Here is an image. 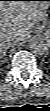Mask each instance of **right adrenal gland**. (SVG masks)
I'll list each match as a JSON object with an SVG mask.
<instances>
[{"label":"right adrenal gland","mask_w":50,"mask_h":111,"mask_svg":"<svg viewBox=\"0 0 50 111\" xmlns=\"http://www.w3.org/2000/svg\"><path fill=\"white\" fill-rule=\"evenodd\" d=\"M6 50L1 51V58L5 60Z\"/></svg>","instance_id":"2a0ac1e0"}]
</instances>
